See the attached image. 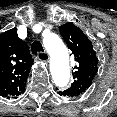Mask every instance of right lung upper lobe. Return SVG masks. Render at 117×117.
Returning <instances> with one entry per match:
<instances>
[{"label":"right lung upper lobe","mask_w":117,"mask_h":117,"mask_svg":"<svg viewBox=\"0 0 117 117\" xmlns=\"http://www.w3.org/2000/svg\"><path fill=\"white\" fill-rule=\"evenodd\" d=\"M33 64L28 45L17 35V29L0 35V96L17 98L23 94Z\"/></svg>","instance_id":"obj_1"}]
</instances>
